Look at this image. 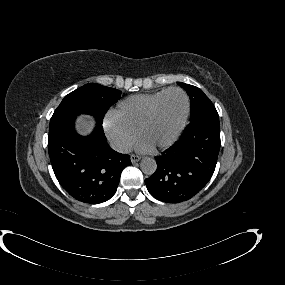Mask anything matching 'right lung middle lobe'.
Instances as JSON below:
<instances>
[{"mask_svg":"<svg viewBox=\"0 0 285 285\" xmlns=\"http://www.w3.org/2000/svg\"><path fill=\"white\" fill-rule=\"evenodd\" d=\"M121 91L99 84H86L64 97L50 120V127L56 123L81 113L90 114L98 123L110 106L120 98Z\"/></svg>","mask_w":285,"mask_h":285,"instance_id":"right-lung-middle-lobe-1","label":"right lung middle lobe"}]
</instances>
